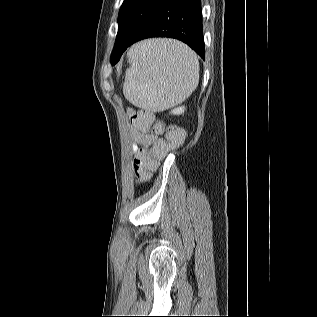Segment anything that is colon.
Returning <instances> with one entry per match:
<instances>
[{
	"label": "colon",
	"mask_w": 317,
	"mask_h": 317,
	"mask_svg": "<svg viewBox=\"0 0 317 317\" xmlns=\"http://www.w3.org/2000/svg\"><path fill=\"white\" fill-rule=\"evenodd\" d=\"M131 122L135 128L141 132L152 131L162 133L164 126L155 115L149 110H139L134 112ZM184 139V132L180 128L170 127L166 131L164 138L158 139L153 146V150L140 152L134 162L133 171L138 181L146 180L158 165V162L165 158L171 150L180 145Z\"/></svg>",
	"instance_id": "obj_1"
}]
</instances>
